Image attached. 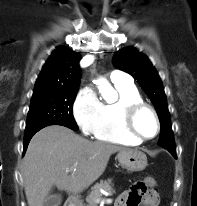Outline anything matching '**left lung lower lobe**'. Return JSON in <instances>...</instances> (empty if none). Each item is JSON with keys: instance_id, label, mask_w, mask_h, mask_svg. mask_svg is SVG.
<instances>
[{"instance_id": "0a47b994", "label": "left lung lower lobe", "mask_w": 197, "mask_h": 206, "mask_svg": "<svg viewBox=\"0 0 197 206\" xmlns=\"http://www.w3.org/2000/svg\"><path fill=\"white\" fill-rule=\"evenodd\" d=\"M174 157H176V148H166Z\"/></svg>"}]
</instances>
